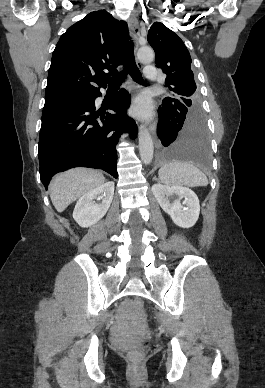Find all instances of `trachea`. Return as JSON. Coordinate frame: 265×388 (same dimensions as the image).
<instances>
[{"instance_id": "3493384b", "label": "trachea", "mask_w": 265, "mask_h": 388, "mask_svg": "<svg viewBox=\"0 0 265 388\" xmlns=\"http://www.w3.org/2000/svg\"><path fill=\"white\" fill-rule=\"evenodd\" d=\"M128 74L131 75L135 82H143L141 72L139 71L135 63L134 45L132 42H130L128 45L124 69L113 77L107 78V82L109 86L121 85Z\"/></svg>"}]
</instances>
